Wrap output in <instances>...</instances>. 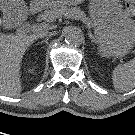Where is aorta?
<instances>
[{
    "label": "aorta",
    "instance_id": "762f6f07",
    "mask_svg": "<svg viewBox=\"0 0 135 135\" xmlns=\"http://www.w3.org/2000/svg\"><path fill=\"white\" fill-rule=\"evenodd\" d=\"M84 41L82 31L77 27H68L65 31V42L70 46H80Z\"/></svg>",
    "mask_w": 135,
    "mask_h": 135
}]
</instances>
